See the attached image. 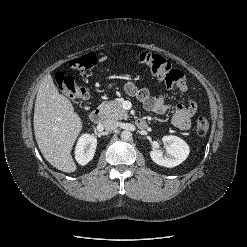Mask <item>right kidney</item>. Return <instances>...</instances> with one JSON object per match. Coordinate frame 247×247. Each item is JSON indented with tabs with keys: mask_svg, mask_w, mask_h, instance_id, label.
Segmentation results:
<instances>
[{
	"mask_svg": "<svg viewBox=\"0 0 247 247\" xmlns=\"http://www.w3.org/2000/svg\"><path fill=\"white\" fill-rule=\"evenodd\" d=\"M97 146V139L90 134H83L75 147V159L80 165L92 160Z\"/></svg>",
	"mask_w": 247,
	"mask_h": 247,
	"instance_id": "obj_1",
	"label": "right kidney"
}]
</instances>
